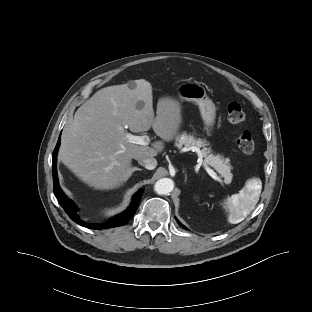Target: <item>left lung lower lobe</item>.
Returning a JSON list of instances; mask_svg holds the SVG:
<instances>
[{
    "label": "left lung lower lobe",
    "mask_w": 312,
    "mask_h": 312,
    "mask_svg": "<svg viewBox=\"0 0 312 312\" xmlns=\"http://www.w3.org/2000/svg\"><path fill=\"white\" fill-rule=\"evenodd\" d=\"M178 223L181 225V226H183L179 221H178ZM184 227V226H183Z\"/></svg>",
    "instance_id": "left-lung-lower-lobe-1"
}]
</instances>
